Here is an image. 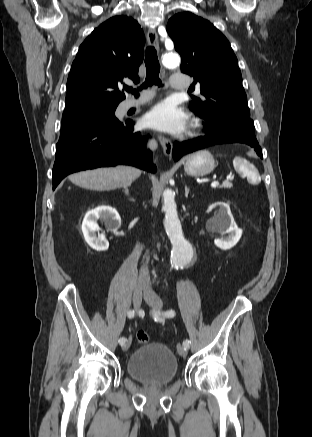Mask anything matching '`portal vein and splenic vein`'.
<instances>
[{
    "instance_id": "obj_1",
    "label": "portal vein and splenic vein",
    "mask_w": 312,
    "mask_h": 437,
    "mask_svg": "<svg viewBox=\"0 0 312 437\" xmlns=\"http://www.w3.org/2000/svg\"><path fill=\"white\" fill-rule=\"evenodd\" d=\"M218 185H219V182H218V181H214V182H212V184H211L212 187H216V186H218Z\"/></svg>"
}]
</instances>
